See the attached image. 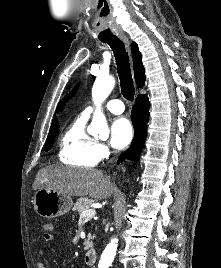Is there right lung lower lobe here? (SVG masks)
Listing matches in <instances>:
<instances>
[{
	"mask_svg": "<svg viewBox=\"0 0 221 268\" xmlns=\"http://www.w3.org/2000/svg\"><path fill=\"white\" fill-rule=\"evenodd\" d=\"M150 103L146 95H139L136 98L135 105L131 112L132 123L134 127V138L131 146L119 157L118 163L126 158L137 161L140 157L145 138L146 127L149 120Z\"/></svg>",
	"mask_w": 221,
	"mask_h": 268,
	"instance_id": "1",
	"label": "right lung lower lobe"
}]
</instances>
